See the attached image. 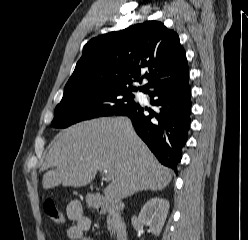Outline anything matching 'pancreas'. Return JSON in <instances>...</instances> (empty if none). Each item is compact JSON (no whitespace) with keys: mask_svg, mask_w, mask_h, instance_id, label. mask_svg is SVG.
Masks as SVG:
<instances>
[{"mask_svg":"<svg viewBox=\"0 0 248 240\" xmlns=\"http://www.w3.org/2000/svg\"><path fill=\"white\" fill-rule=\"evenodd\" d=\"M108 221L110 222V217H108ZM108 228H109V230H110V232H111V235H112V234H113V230H112V228H111V225H110V224H109Z\"/></svg>","mask_w":248,"mask_h":240,"instance_id":"obj_1","label":"pancreas"}]
</instances>
